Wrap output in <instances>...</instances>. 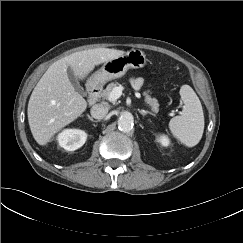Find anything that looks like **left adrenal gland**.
<instances>
[{
    "mask_svg": "<svg viewBox=\"0 0 243 243\" xmlns=\"http://www.w3.org/2000/svg\"><path fill=\"white\" fill-rule=\"evenodd\" d=\"M139 113L142 114L143 116L147 115V114H150V115H154V113L150 112V111H145V110H140L138 109Z\"/></svg>",
    "mask_w": 243,
    "mask_h": 243,
    "instance_id": "left-adrenal-gland-1",
    "label": "left adrenal gland"
}]
</instances>
